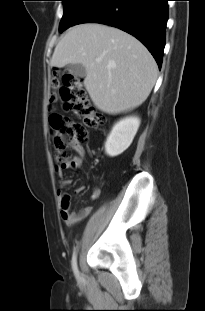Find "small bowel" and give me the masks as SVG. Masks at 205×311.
I'll return each instance as SVG.
<instances>
[{
  "mask_svg": "<svg viewBox=\"0 0 205 311\" xmlns=\"http://www.w3.org/2000/svg\"><path fill=\"white\" fill-rule=\"evenodd\" d=\"M77 154L73 156L70 160L63 163L56 168V171L60 174V188L57 190V195L59 198L61 211L60 215L62 220L69 226H74L80 223L82 220L87 218L91 212V206H84L79 211H71L70 209V198L65 194L64 189L71 183V180L63 176V172L66 170L79 169L83 163L84 149L78 147L76 149ZM84 187H80L78 192H82ZM100 195V190L98 188L94 189L91 198L96 199Z\"/></svg>",
  "mask_w": 205,
  "mask_h": 311,
  "instance_id": "small-bowel-1",
  "label": "small bowel"
}]
</instances>
